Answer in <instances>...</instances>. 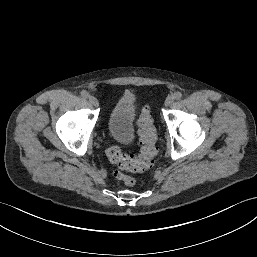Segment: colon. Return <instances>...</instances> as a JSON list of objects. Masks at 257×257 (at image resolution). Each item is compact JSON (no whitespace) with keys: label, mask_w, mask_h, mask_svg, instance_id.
<instances>
[{"label":"colon","mask_w":257,"mask_h":257,"mask_svg":"<svg viewBox=\"0 0 257 257\" xmlns=\"http://www.w3.org/2000/svg\"><path fill=\"white\" fill-rule=\"evenodd\" d=\"M139 136L141 153L136 156L124 153L120 147L113 145L110 140L105 142V152L109 161L117 166L114 176L127 186H133L135 179L125 175L122 171L141 172L151 166L156 155V132L150 112L142 111L139 119Z\"/></svg>","instance_id":"colon-1"}]
</instances>
